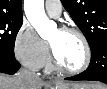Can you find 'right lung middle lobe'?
Masks as SVG:
<instances>
[{"label":"right lung middle lobe","mask_w":107,"mask_h":89,"mask_svg":"<svg viewBox=\"0 0 107 89\" xmlns=\"http://www.w3.org/2000/svg\"><path fill=\"white\" fill-rule=\"evenodd\" d=\"M23 18L0 16V56L14 60V44Z\"/></svg>","instance_id":"right-lung-middle-lobe-1"}]
</instances>
